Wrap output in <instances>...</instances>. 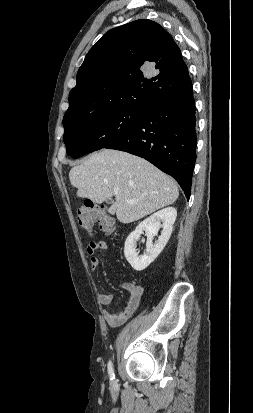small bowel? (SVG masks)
Listing matches in <instances>:
<instances>
[{
	"instance_id": "c3829d8e",
	"label": "small bowel",
	"mask_w": 253,
	"mask_h": 413,
	"mask_svg": "<svg viewBox=\"0 0 253 413\" xmlns=\"http://www.w3.org/2000/svg\"><path fill=\"white\" fill-rule=\"evenodd\" d=\"M107 244L104 241L90 242L87 247V252L90 255V266L92 270H96L100 264V258L96 256L97 251L106 250ZM120 286L129 293V300L126 307L121 311L104 310L103 315L108 324L112 327H117L129 319L139 307L144 288L141 285H136L131 282H120ZM99 302L104 306H110L113 296L106 292L98 294Z\"/></svg>"
}]
</instances>
